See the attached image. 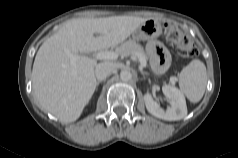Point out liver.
Returning <instances> with one entry per match:
<instances>
[{
  "label": "liver",
  "mask_w": 238,
  "mask_h": 158,
  "mask_svg": "<svg viewBox=\"0 0 238 158\" xmlns=\"http://www.w3.org/2000/svg\"><path fill=\"white\" fill-rule=\"evenodd\" d=\"M147 19L133 16L77 18L66 21L39 48L32 69L33 91L40 107L60 121H76L91 99L96 59L82 56L73 65L66 51L93 52L125 41ZM97 33L98 36H94Z\"/></svg>",
  "instance_id": "liver-1"
}]
</instances>
